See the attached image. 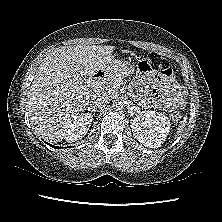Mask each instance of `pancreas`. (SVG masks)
Wrapping results in <instances>:
<instances>
[{
  "instance_id": "cf45deb5",
  "label": "pancreas",
  "mask_w": 222,
  "mask_h": 222,
  "mask_svg": "<svg viewBox=\"0 0 222 222\" xmlns=\"http://www.w3.org/2000/svg\"><path fill=\"white\" fill-rule=\"evenodd\" d=\"M121 80L122 76L118 72L110 74L102 86V92L111 96L115 95L117 93V88L114 83L121 82Z\"/></svg>"
}]
</instances>
